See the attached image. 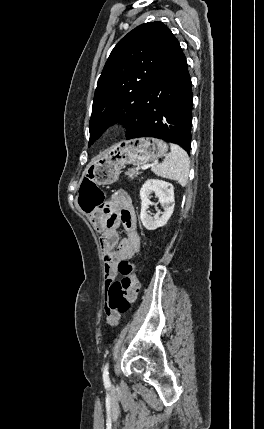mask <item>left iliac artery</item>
Segmentation results:
<instances>
[{
  "label": "left iliac artery",
  "instance_id": "left-iliac-artery-1",
  "mask_svg": "<svg viewBox=\"0 0 264 429\" xmlns=\"http://www.w3.org/2000/svg\"><path fill=\"white\" fill-rule=\"evenodd\" d=\"M108 368H109V364L107 363L104 367V370H103V381H104L105 385H110Z\"/></svg>",
  "mask_w": 264,
  "mask_h": 429
}]
</instances>
